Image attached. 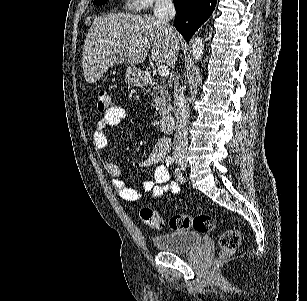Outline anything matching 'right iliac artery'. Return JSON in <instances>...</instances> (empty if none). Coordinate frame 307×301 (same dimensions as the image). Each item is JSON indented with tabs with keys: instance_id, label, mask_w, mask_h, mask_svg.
Segmentation results:
<instances>
[{
	"instance_id": "obj_1",
	"label": "right iliac artery",
	"mask_w": 307,
	"mask_h": 301,
	"mask_svg": "<svg viewBox=\"0 0 307 301\" xmlns=\"http://www.w3.org/2000/svg\"><path fill=\"white\" fill-rule=\"evenodd\" d=\"M173 163H174V158L171 157V156H168V157L166 158V164H167V166L172 165Z\"/></svg>"
}]
</instances>
